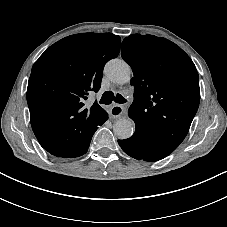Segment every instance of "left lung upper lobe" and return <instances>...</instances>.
<instances>
[{
	"label": "left lung upper lobe",
	"instance_id": "1",
	"mask_svg": "<svg viewBox=\"0 0 227 227\" xmlns=\"http://www.w3.org/2000/svg\"><path fill=\"white\" fill-rule=\"evenodd\" d=\"M121 55L134 74L128 115L136 131L174 151L187 135L200 102L194 63L175 43L154 35L126 37Z\"/></svg>",
	"mask_w": 227,
	"mask_h": 227
}]
</instances>
